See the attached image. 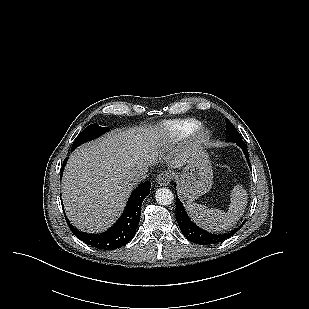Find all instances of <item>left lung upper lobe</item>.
<instances>
[{
	"mask_svg": "<svg viewBox=\"0 0 309 309\" xmlns=\"http://www.w3.org/2000/svg\"><path fill=\"white\" fill-rule=\"evenodd\" d=\"M226 125H227L226 136L228 141L230 142L243 141L236 128L228 119L226 120Z\"/></svg>",
	"mask_w": 309,
	"mask_h": 309,
	"instance_id": "left-lung-upper-lobe-1",
	"label": "left lung upper lobe"
}]
</instances>
